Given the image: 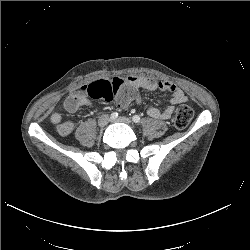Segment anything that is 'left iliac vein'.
<instances>
[{
    "mask_svg": "<svg viewBox=\"0 0 250 250\" xmlns=\"http://www.w3.org/2000/svg\"><path fill=\"white\" fill-rule=\"evenodd\" d=\"M111 121L114 122V123H125V124H128V125L132 124L131 120L126 118V117H118L116 119H112Z\"/></svg>",
    "mask_w": 250,
    "mask_h": 250,
    "instance_id": "left-iliac-vein-1",
    "label": "left iliac vein"
}]
</instances>
